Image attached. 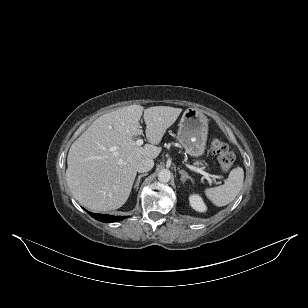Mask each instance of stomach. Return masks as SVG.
I'll list each match as a JSON object with an SVG mask.
<instances>
[{
    "label": "stomach",
    "mask_w": 308,
    "mask_h": 308,
    "mask_svg": "<svg viewBox=\"0 0 308 308\" xmlns=\"http://www.w3.org/2000/svg\"><path fill=\"white\" fill-rule=\"evenodd\" d=\"M177 139L185 151L194 157L204 154L208 136V118L195 108H188L178 124Z\"/></svg>",
    "instance_id": "0dacf381"
}]
</instances>
